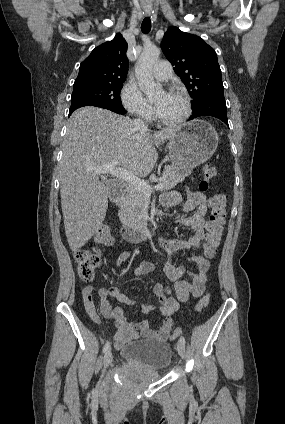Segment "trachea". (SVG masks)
<instances>
[{"instance_id": "1", "label": "trachea", "mask_w": 285, "mask_h": 424, "mask_svg": "<svg viewBox=\"0 0 285 424\" xmlns=\"http://www.w3.org/2000/svg\"><path fill=\"white\" fill-rule=\"evenodd\" d=\"M151 30V20L149 17L144 18L142 24H141V31L144 34L149 33Z\"/></svg>"}]
</instances>
